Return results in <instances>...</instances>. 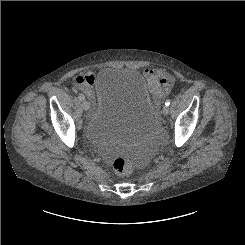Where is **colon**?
I'll use <instances>...</instances> for the list:
<instances>
[{
	"label": "colon",
	"instance_id": "1",
	"mask_svg": "<svg viewBox=\"0 0 245 245\" xmlns=\"http://www.w3.org/2000/svg\"><path fill=\"white\" fill-rule=\"evenodd\" d=\"M113 169L118 175H127L132 171V162L126 158H117L113 162Z\"/></svg>",
	"mask_w": 245,
	"mask_h": 245
}]
</instances>
